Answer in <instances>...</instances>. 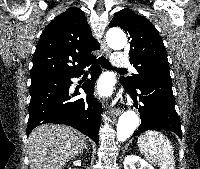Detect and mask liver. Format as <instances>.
<instances>
[{
  "label": "liver",
  "mask_w": 200,
  "mask_h": 169,
  "mask_svg": "<svg viewBox=\"0 0 200 169\" xmlns=\"http://www.w3.org/2000/svg\"><path fill=\"white\" fill-rule=\"evenodd\" d=\"M84 141V135L66 125L36 127L27 140L30 169H63Z\"/></svg>",
  "instance_id": "liver-1"
}]
</instances>
